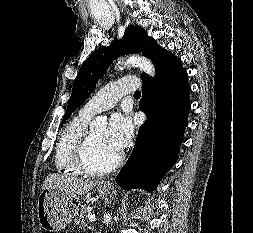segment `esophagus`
<instances>
[{"instance_id":"obj_1","label":"esophagus","mask_w":253,"mask_h":233,"mask_svg":"<svg viewBox=\"0 0 253 233\" xmlns=\"http://www.w3.org/2000/svg\"><path fill=\"white\" fill-rule=\"evenodd\" d=\"M105 185L109 186L110 184L109 183H105Z\"/></svg>"}]
</instances>
